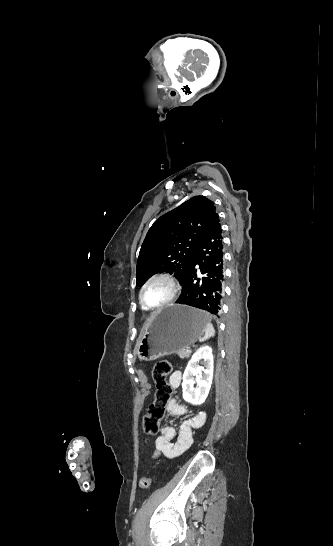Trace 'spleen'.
<instances>
[{
	"mask_svg": "<svg viewBox=\"0 0 333 546\" xmlns=\"http://www.w3.org/2000/svg\"><path fill=\"white\" fill-rule=\"evenodd\" d=\"M214 336H215V330L213 325L211 324V317H209V322L207 323L206 329H205V335L204 337L200 338L199 341L204 342Z\"/></svg>",
	"mask_w": 333,
	"mask_h": 546,
	"instance_id": "1",
	"label": "spleen"
}]
</instances>
